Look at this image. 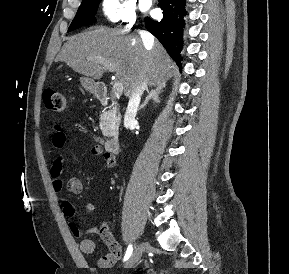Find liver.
I'll use <instances>...</instances> for the list:
<instances>
[{"mask_svg":"<svg viewBox=\"0 0 289 274\" xmlns=\"http://www.w3.org/2000/svg\"><path fill=\"white\" fill-rule=\"evenodd\" d=\"M55 61H63L79 74L96 80L102 78L105 66L112 63L129 98L143 82L150 87L165 85L174 68L158 41L145 47L138 35L104 28L69 37Z\"/></svg>","mask_w":289,"mask_h":274,"instance_id":"liver-1","label":"liver"}]
</instances>
